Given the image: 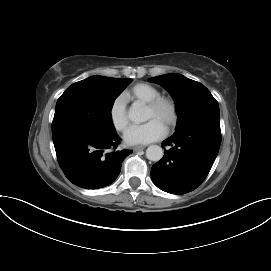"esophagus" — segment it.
I'll list each match as a JSON object with an SVG mask.
<instances>
[{
	"label": "esophagus",
	"instance_id": "esophagus-1",
	"mask_svg": "<svg viewBox=\"0 0 271 271\" xmlns=\"http://www.w3.org/2000/svg\"><path fill=\"white\" fill-rule=\"evenodd\" d=\"M144 149H145V146H142V145H138V146L133 147V150L135 152H138V151L144 150Z\"/></svg>",
	"mask_w": 271,
	"mask_h": 271
}]
</instances>
